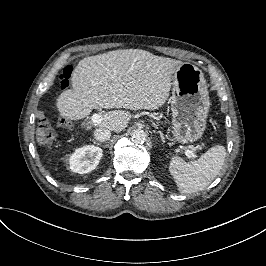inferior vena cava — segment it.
Here are the masks:
<instances>
[{"instance_id": "602c4592", "label": "inferior vena cava", "mask_w": 266, "mask_h": 266, "mask_svg": "<svg viewBox=\"0 0 266 266\" xmlns=\"http://www.w3.org/2000/svg\"><path fill=\"white\" fill-rule=\"evenodd\" d=\"M111 137V131L105 128H97L94 131V138L100 142H104Z\"/></svg>"}]
</instances>
